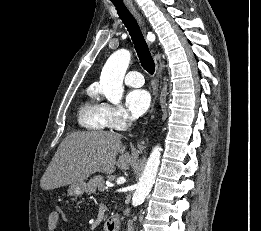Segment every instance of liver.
<instances>
[{
	"label": "liver",
	"mask_w": 261,
	"mask_h": 231,
	"mask_svg": "<svg viewBox=\"0 0 261 231\" xmlns=\"http://www.w3.org/2000/svg\"><path fill=\"white\" fill-rule=\"evenodd\" d=\"M122 135L116 132L91 131L69 134L59 145L40 186L44 190L83 182L95 172L113 173L118 167L128 170L132 158L122 153Z\"/></svg>",
	"instance_id": "1"
}]
</instances>
